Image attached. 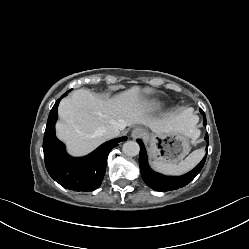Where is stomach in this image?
<instances>
[{"mask_svg": "<svg viewBox=\"0 0 249 249\" xmlns=\"http://www.w3.org/2000/svg\"><path fill=\"white\" fill-rule=\"evenodd\" d=\"M149 152L152 158L176 163L182 160L190 150V137L183 130H174L167 133L147 134Z\"/></svg>", "mask_w": 249, "mask_h": 249, "instance_id": "obj_1", "label": "stomach"}]
</instances>
